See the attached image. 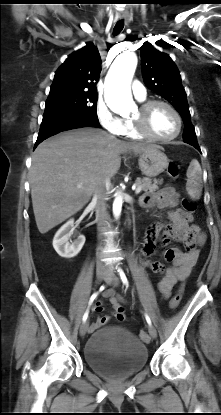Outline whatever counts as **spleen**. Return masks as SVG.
I'll list each match as a JSON object with an SVG mask.
<instances>
[{"mask_svg": "<svg viewBox=\"0 0 221 415\" xmlns=\"http://www.w3.org/2000/svg\"><path fill=\"white\" fill-rule=\"evenodd\" d=\"M186 175V190L191 199L198 200L202 192V169L196 159L190 162Z\"/></svg>", "mask_w": 221, "mask_h": 415, "instance_id": "obj_1", "label": "spleen"}]
</instances>
